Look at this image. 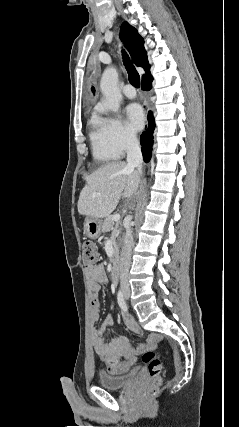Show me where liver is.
<instances>
[{
  "label": "liver",
  "mask_w": 239,
  "mask_h": 427,
  "mask_svg": "<svg viewBox=\"0 0 239 427\" xmlns=\"http://www.w3.org/2000/svg\"><path fill=\"white\" fill-rule=\"evenodd\" d=\"M140 174L128 168L124 161H113L99 167L86 177L77 205L79 214L93 218L110 216L121 196L130 198L137 193Z\"/></svg>",
  "instance_id": "liver-1"
}]
</instances>
